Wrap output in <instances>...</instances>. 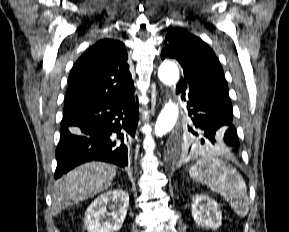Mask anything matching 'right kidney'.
I'll use <instances>...</instances> for the list:
<instances>
[{
    "label": "right kidney",
    "instance_id": "right-kidney-1",
    "mask_svg": "<svg viewBox=\"0 0 289 232\" xmlns=\"http://www.w3.org/2000/svg\"><path fill=\"white\" fill-rule=\"evenodd\" d=\"M108 204L110 212L107 210ZM128 205L129 194L122 189H113L101 194L85 212L84 225L87 231H119L126 218Z\"/></svg>",
    "mask_w": 289,
    "mask_h": 232
}]
</instances>
